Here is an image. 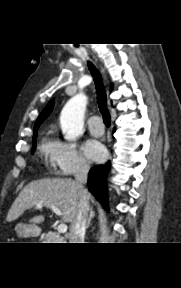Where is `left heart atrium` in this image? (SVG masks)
I'll use <instances>...</instances> for the list:
<instances>
[{
    "label": "left heart atrium",
    "instance_id": "39dd6f15",
    "mask_svg": "<svg viewBox=\"0 0 181 288\" xmlns=\"http://www.w3.org/2000/svg\"><path fill=\"white\" fill-rule=\"evenodd\" d=\"M83 152L92 161H101L106 154L104 146L95 140H88L83 146Z\"/></svg>",
    "mask_w": 181,
    "mask_h": 288
}]
</instances>
